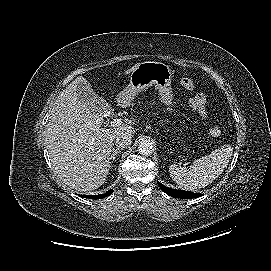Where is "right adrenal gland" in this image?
<instances>
[{"label": "right adrenal gland", "mask_w": 271, "mask_h": 271, "mask_svg": "<svg viewBox=\"0 0 271 271\" xmlns=\"http://www.w3.org/2000/svg\"><path fill=\"white\" fill-rule=\"evenodd\" d=\"M121 150H123V148H120V147L113 148L111 157L109 158L110 159V163H113V161L116 158V155L119 154L121 152Z\"/></svg>", "instance_id": "right-adrenal-gland-1"}]
</instances>
